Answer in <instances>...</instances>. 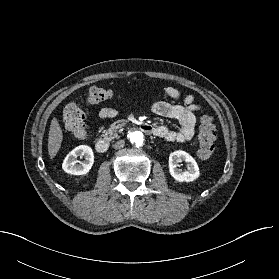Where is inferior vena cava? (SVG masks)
<instances>
[{"instance_id": "602c4592", "label": "inferior vena cava", "mask_w": 279, "mask_h": 279, "mask_svg": "<svg viewBox=\"0 0 279 279\" xmlns=\"http://www.w3.org/2000/svg\"><path fill=\"white\" fill-rule=\"evenodd\" d=\"M124 145H125V141L119 140L113 145V147H114V149H120V148H123Z\"/></svg>"}]
</instances>
